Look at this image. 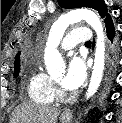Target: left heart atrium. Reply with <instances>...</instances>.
Masks as SVG:
<instances>
[{
  "label": "left heart atrium",
  "instance_id": "obj_1",
  "mask_svg": "<svg viewBox=\"0 0 122 123\" xmlns=\"http://www.w3.org/2000/svg\"><path fill=\"white\" fill-rule=\"evenodd\" d=\"M86 75L87 68L84 60L79 56H73L62 79V85L68 90H76L84 83Z\"/></svg>",
  "mask_w": 122,
  "mask_h": 123
}]
</instances>
